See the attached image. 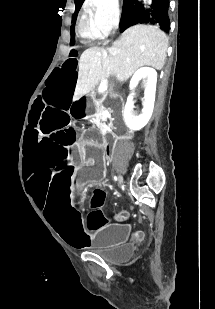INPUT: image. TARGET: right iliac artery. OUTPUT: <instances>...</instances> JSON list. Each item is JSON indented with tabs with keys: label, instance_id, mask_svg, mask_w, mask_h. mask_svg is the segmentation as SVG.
I'll use <instances>...</instances> for the list:
<instances>
[{
	"label": "right iliac artery",
	"instance_id": "1",
	"mask_svg": "<svg viewBox=\"0 0 215 309\" xmlns=\"http://www.w3.org/2000/svg\"><path fill=\"white\" fill-rule=\"evenodd\" d=\"M114 180L117 181V177L116 176H114Z\"/></svg>",
	"mask_w": 215,
	"mask_h": 309
}]
</instances>
